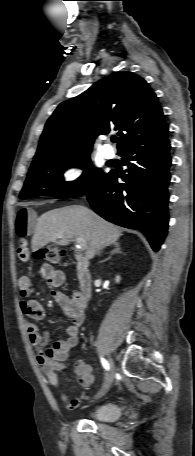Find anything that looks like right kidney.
I'll return each mask as SVG.
<instances>
[{
    "mask_svg": "<svg viewBox=\"0 0 195 456\" xmlns=\"http://www.w3.org/2000/svg\"><path fill=\"white\" fill-rule=\"evenodd\" d=\"M119 279H120V277H119V276H117V277H116V281L118 282V281H119Z\"/></svg>",
    "mask_w": 195,
    "mask_h": 456,
    "instance_id": "ca27d5eb",
    "label": "right kidney"
}]
</instances>
